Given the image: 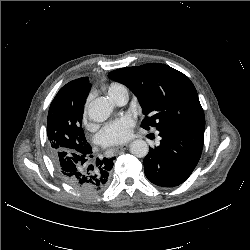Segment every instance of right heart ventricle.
Instances as JSON below:
<instances>
[{"label":"right heart ventricle","mask_w":250,"mask_h":250,"mask_svg":"<svg viewBox=\"0 0 250 250\" xmlns=\"http://www.w3.org/2000/svg\"><path fill=\"white\" fill-rule=\"evenodd\" d=\"M106 91L108 93V95L113 99L115 100L116 97L122 93V92H128L127 91V88L120 84V83H117V82H113L111 84H109L107 87H106Z\"/></svg>","instance_id":"right-heart-ventricle-1"}]
</instances>
